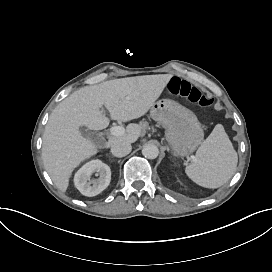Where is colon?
Listing matches in <instances>:
<instances>
[{"label": "colon", "mask_w": 272, "mask_h": 272, "mask_svg": "<svg viewBox=\"0 0 272 272\" xmlns=\"http://www.w3.org/2000/svg\"><path fill=\"white\" fill-rule=\"evenodd\" d=\"M170 89L176 96L204 108L211 106L214 101L207 93L177 77L170 82Z\"/></svg>", "instance_id": "obj_1"}]
</instances>
